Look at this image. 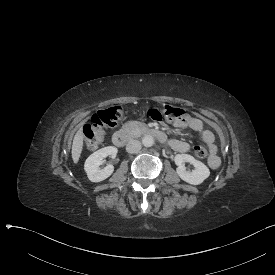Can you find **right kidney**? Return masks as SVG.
Segmentation results:
<instances>
[{"instance_id":"right-kidney-1","label":"right kidney","mask_w":275,"mask_h":275,"mask_svg":"<svg viewBox=\"0 0 275 275\" xmlns=\"http://www.w3.org/2000/svg\"><path fill=\"white\" fill-rule=\"evenodd\" d=\"M117 148L114 146L104 147L91 154L85 161L84 169L92 182H100L108 178L114 171L113 165H107L103 169L99 166L103 164V159L107 156L113 158L117 155Z\"/></svg>"}]
</instances>
